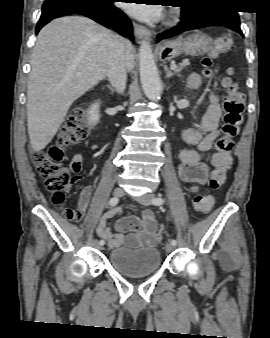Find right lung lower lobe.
<instances>
[{"instance_id":"obj_1","label":"right lung lower lobe","mask_w":270,"mask_h":338,"mask_svg":"<svg viewBox=\"0 0 270 338\" xmlns=\"http://www.w3.org/2000/svg\"><path fill=\"white\" fill-rule=\"evenodd\" d=\"M115 1L46 0L42 6L40 20L36 26V34L54 18L70 14H81L133 40L132 23L120 9L113 5Z\"/></svg>"}]
</instances>
